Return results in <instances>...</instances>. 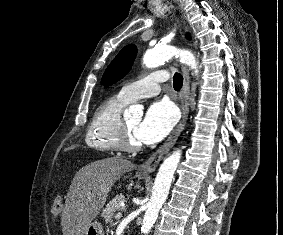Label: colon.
<instances>
[{
    "label": "colon",
    "instance_id": "obj_1",
    "mask_svg": "<svg viewBox=\"0 0 283 235\" xmlns=\"http://www.w3.org/2000/svg\"><path fill=\"white\" fill-rule=\"evenodd\" d=\"M62 205H63V198L61 195H56L53 199L52 202V206H51V213L52 215L57 216L61 209H62Z\"/></svg>",
    "mask_w": 283,
    "mask_h": 235
}]
</instances>
